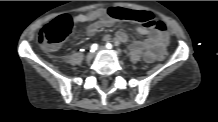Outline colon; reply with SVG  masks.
I'll list each match as a JSON object with an SVG mask.
<instances>
[{
	"instance_id": "1",
	"label": "colon",
	"mask_w": 218,
	"mask_h": 122,
	"mask_svg": "<svg viewBox=\"0 0 218 122\" xmlns=\"http://www.w3.org/2000/svg\"><path fill=\"white\" fill-rule=\"evenodd\" d=\"M109 13L117 19L137 22L150 28H162L165 26L148 11L118 7L111 9ZM71 29V18L67 15H62L41 29L38 37L39 43L45 48L54 49L70 34ZM171 55L172 52L170 49H163L162 52H159L156 56V61L158 63H164Z\"/></svg>"
}]
</instances>
